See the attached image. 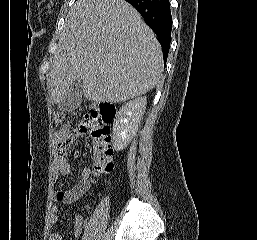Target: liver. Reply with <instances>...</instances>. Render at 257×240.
<instances>
[{
	"instance_id": "1",
	"label": "liver",
	"mask_w": 257,
	"mask_h": 240,
	"mask_svg": "<svg viewBox=\"0 0 257 240\" xmlns=\"http://www.w3.org/2000/svg\"><path fill=\"white\" fill-rule=\"evenodd\" d=\"M163 71L153 31L125 0H78L68 12L47 84L59 104L76 80L95 102L127 101L152 90Z\"/></svg>"
}]
</instances>
